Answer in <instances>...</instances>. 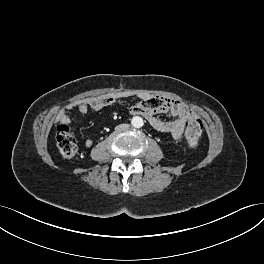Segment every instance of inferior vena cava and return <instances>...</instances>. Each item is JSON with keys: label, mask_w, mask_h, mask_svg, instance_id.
<instances>
[{"label": "inferior vena cava", "mask_w": 264, "mask_h": 264, "mask_svg": "<svg viewBox=\"0 0 264 264\" xmlns=\"http://www.w3.org/2000/svg\"><path fill=\"white\" fill-rule=\"evenodd\" d=\"M132 129V124L116 125V130Z\"/></svg>", "instance_id": "obj_1"}]
</instances>
